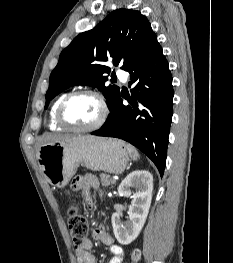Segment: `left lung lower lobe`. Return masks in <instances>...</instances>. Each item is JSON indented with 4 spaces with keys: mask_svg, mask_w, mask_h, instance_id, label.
Wrapping results in <instances>:
<instances>
[{
    "mask_svg": "<svg viewBox=\"0 0 233 263\" xmlns=\"http://www.w3.org/2000/svg\"><path fill=\"white\" fill-rule=\"evenodd\" d=\"M125 71L131 75L132 96L120 94L104 125L91 134L131 143L154 162L163 176L173 114V86L157 37ZM121 97L129 105H123Z\"/></svg>",
    "mask_w": 233,
    "mask_h": 263,
    "instance_id": "left-lung-lower-lobe-1",
    "label": "left lung lower lobe"
}]
</instances>
